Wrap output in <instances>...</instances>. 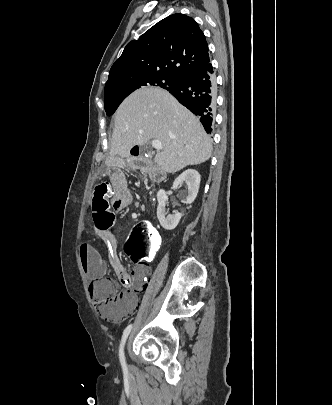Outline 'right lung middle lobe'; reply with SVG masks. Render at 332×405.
<instances>
[{
    "label": "right lung middle lobe",
    "instance_id": "dd1d6c3e",
    "mask_svg": "<svg viewBox=\"0 0 332 405\" xmlns=\"http://www.w3.org/2000/svg\"><path fill=\"white\" fill-rule=\"evenodd\" d=\"M180 80V76L168 74L141 73L121 76L105 86L104 106L106 114L112 115L120 103L138 88L156 86L167 90L176 86Z\"/></svg>",
    "mask_w": 332,
    "mask_h": 405
}]
</instances>
